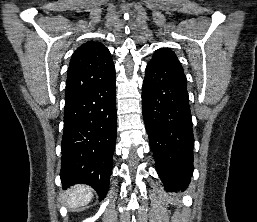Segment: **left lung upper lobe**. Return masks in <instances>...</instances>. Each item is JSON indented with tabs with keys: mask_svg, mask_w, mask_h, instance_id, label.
Instances as JSON below:
<instances>
[{
	"mask_svg": "<svg viewBox=\"0 0 257 222\" xmlns=\"http://www.w3.org/2000/svg\"><path fill=\"white\" fill-rule=\"evenodd\" d=\"M152 59L165 62V63H167L171 66H174V67L178 68L179 70L183 71V68H182L177 56L169 48L158 49Z\"/></svg>",
	"mask_w": 257,
	"mask_h": 222,
	"instance_id": "left-lung-upper-lobe-1",
	"label": "left lung upper lobe"
}]
</instances>
